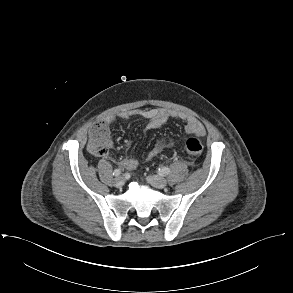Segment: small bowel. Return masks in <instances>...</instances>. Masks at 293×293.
<instances>
[{
	"mask_svg": "<svg viewBox=\"0 0 293 293\" xmlns=\"http://www.w3.org/2000/svg\"><path fill=\"white\" fill-rule=\"evenodd\" d=\"M132 117H140L147 121L146 128L149 130L157 129L164 125L169 119H178L185 123V130L189 135H195L199 137L205 136V128L202 123L189 115L184 113L171 111L162 108H150V109H132L121 111L116 114L106 115L102 122L105 125L112 124L117 118L127 120ZM160 152V147H153L147 153V160H151L156 157ZM104 157H110V153L107 152ZM120 165L128 170H133L137 167L138 161L134 158H124L120 161Z\"/></svg>",
	"mask_w": 293,
	"mask_h": 293,
	"instance_id": "c3829d8e",
	"label": "small bowel"
}]
</instances>
